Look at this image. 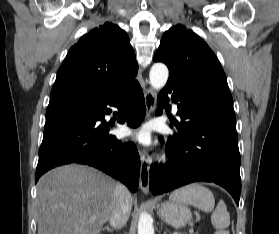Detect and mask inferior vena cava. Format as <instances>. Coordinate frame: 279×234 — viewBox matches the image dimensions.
<instances>
[{"label": "inferior vena cava", "instance_id": "1", "mask_svg": "<svg viewBox=\"0 0 279 234\" xmlns=\"http://www.w3.org/2000/svg\"><path fill=\"white\" fill-rule=\"evenodd\" d=\"M132 207V197L129 190L122 184H117L114 193L112 211L109 217L110 225L116 229L123 227L129 218Z\"/></svg>", "mask_w": 279, "mask_h": 234}]
</instances>
